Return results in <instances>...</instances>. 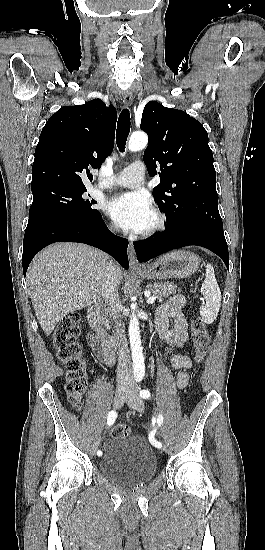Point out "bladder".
I'll use <instances>...</instances> for the list:
<instances>
[{
    "instance_id": "bladder-1",
    "label": "bladder",
    "mask_w": 265,
    "mask_h": 550,
    "mask_svg": "<svg viewBox=\"0 0 265 550\" xmlns=\"http://www.w3.org/2000/svg\"><path fill=\"white\" fill-rule=\"evenodd\" d=\"M157 466L153 449L145 438L137 435L111 439L99 462L104 475L126 487L151 480Z\"/></svg>"
}]
</instances>
